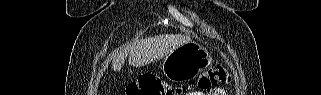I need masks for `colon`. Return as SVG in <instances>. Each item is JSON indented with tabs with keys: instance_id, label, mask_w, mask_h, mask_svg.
<instances>
[{
	"instance_id": "1",
	"label": "colon",
	"mask_w": 321,
	"mask_h": 95,
	"mask_svg": "<svg viewBox=\"0 0 321 95\" xmlns=\"http://www.w3.org/2000/svg\"><path fill=\"white\" fill-rule=\"evenodd\" d=\"M231 81L229 72L224 68L206 70L198 79L196 86L202 90L218 84H228ZM193 89L194 86H189ZM127 95H179L183 89L163 82L159 77L145 75L130 83L126 89Z\"/></svg>"
}]
</instances>
